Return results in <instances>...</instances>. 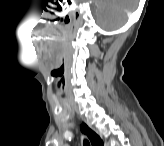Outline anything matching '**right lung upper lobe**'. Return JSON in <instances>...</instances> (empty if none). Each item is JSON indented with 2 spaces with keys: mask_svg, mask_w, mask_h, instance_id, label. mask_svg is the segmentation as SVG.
<instances>
[{
  "mask_svg": "<svg viewBox=\"0 0 164 146\" xmlns=\"http://www.w3.org/2000/svg\"><path fill=\"white\" fill-rule=\"evenodd\" d=\"M82 131L88 135L93 146H103V142L100 137L95 132H93L86 124L82 126Z\"/></svg>",
  "mask_w": 164,
  "mask_h": 146,
  "instance_id": "obj_1",
  "label": "right lung upper lobe"
}]
</instances>
